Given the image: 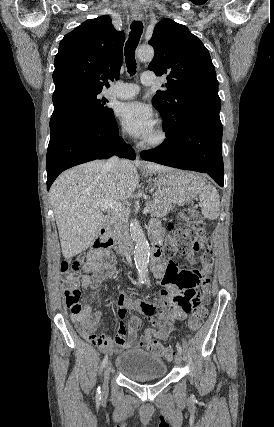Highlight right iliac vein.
<instances>
[{"instance_id":"1","label":"right iliac vein","mask_w":274,"mask_h":427,"mask_svg":"<svg viewBox=\"0 0 274 427\" xmlns=\"http://www.w3.org/2000/svg\"><path fill=\"white\" fill-rule=\"evenodd\" d=\"M110 374H111V362L108 361L104 369V379H103V385H102L103 391H107Z\"/></svg>"}]
</instances>
